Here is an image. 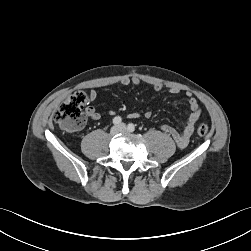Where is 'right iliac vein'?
Returning <instances> with one entry per match:
<instances>
[{
  "label": "right iliac vein",
  "instance_id": "63e3f726",
  "mask_svg": "<svg viewBox=\"0 0 251 251\" xmlns=\"http://www.w3.org/2000/svg\"><path fill=\"white\" fill-rule=\"evenodd\" d=\"M121 131L119 126H113L110 130L111 136L117 135Z\"/></svg>",
  "mask_w": 251,
  "mask_h": 251
}]
</instances>
